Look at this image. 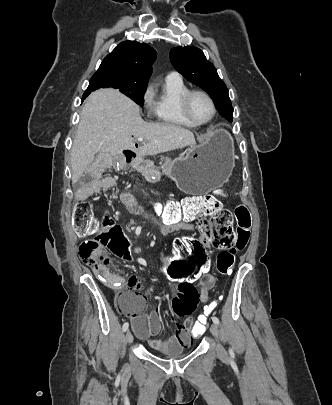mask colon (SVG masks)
Here are the masks:
<instances>
[{
	"label": "colon",
	"mask_w": 332,
	"mask_h": 405,
	"mask_svg": "<svg viewBox=\"0 0 332 405\" xmlns=\"http://www.w3.org/2000/svg\"><path fill=\"white\" fill-rule=\"evenodd\" d=\"M218 195L226 196V193L219 191ZM148 206L165 219H179L210 211L211 220H202L197 234H180L177 242L179 256L167 257L168 263L162 268L172 282H180L182 287L192 286L193 281H205L209 266L207 257H211V249H226L217 255L216 267L220 274L228 275L232 271L236 252L244 249L250 240L251 216L245 206L239 205L234 209L235 227L230 211H215L220 203L212 195L170 200L166 204H160L157 199H150ZM73 217L76 231L80 235L90 237L79 246L80 259L103 273L109 284L119 290V298L130 300L131 296L120 285L110 263V256H130L133 252L128 247L129 243L124 238L121 226L113 223L106 211L97 213L94 206L86 200L75 204ZM107 233L111 235L105 238ZM105 246H108L107 251ZM213 314L212 307H205L203 311L198 312L189 335L190 342H201L202 331L209 316Z\"/></svg>",
	"instance_id": "colon-1"
}]
</instances>
